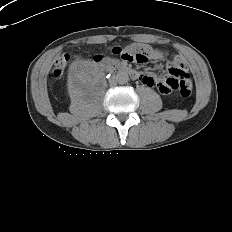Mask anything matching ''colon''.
<instances>
[{"label": "colon", "mask_w": 232, "mask_h": 232, "mask_svg": "<svg viewBox=\"0 0 232 232\" xmlns=\"http://www.w3.org/2000/svg\"><path fill=\"white\" fill-rule=\"evenodd\" d=\"M110 54L120 56L124 61L144 64L148 62L152 57H157L158 53L151 49H140L139 51H133L132 49L122 50L121 48H113ZM104 58L103 55H95L96 61H101ZM68 57L61 56L57 59L55 67L53 69V76L55 78H61L64 73V68L67 63ZM171 86V93L178 94L182 98H187L191 94V84L189 81L188 73L186 70L172 66L170 74L165 81Z\"/></svg>", "instance_id": "obj_1"}]
</instances>
